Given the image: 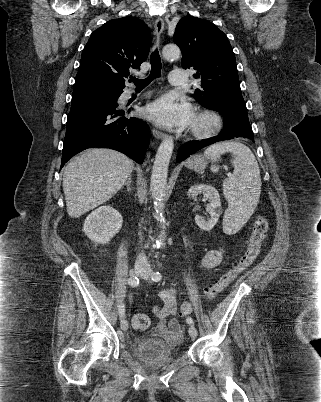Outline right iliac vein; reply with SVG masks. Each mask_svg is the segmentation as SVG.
I'll list each match as a JSON object with an SVG mask.
<instances>
[{
    "label": "right iliac vein",
    "instance_id": "right-iliac-vein-1",
    "mask_svg": "<svg viewBox=\"0 0 321 402\" xmlns=\"http://www.w3.org/2000/svg\"><path fill=\"white\" fill-rule=\"evenodd\" d=\"M145 272V268L142 266H135L133 270H131L130 274L131 275H137V276H141L143 273ZM121 329L123 331H127L128 330V322L123 319L121 321Z\"/></svg>",
    "mask_w": 321,
    "mask_h": 402
}]
</instances>
